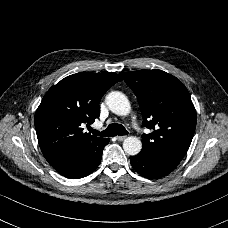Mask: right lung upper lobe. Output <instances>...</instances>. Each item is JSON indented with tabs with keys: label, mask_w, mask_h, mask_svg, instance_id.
I'll return each mask as SVG.
<instances>
[{
	"label": "right lung upper lobe",
	"mask_w": 228,
	"mask_h": 228,
	"mask_svg": "<svg viewBox=\"0 0 228 228\" xmlns=\"http://www.w3.org/2000/svg\"><path fill=\"white\" fill-rule=\"evenodd\" d=\"M122 78L115 73L83 72L52 86L35 113V129L47 161L71 155L99 137L83 133L82 123L100 115L105 92Z\"/></svg>",
	"instance_id": "cb5924a9"
}]
</instances>
